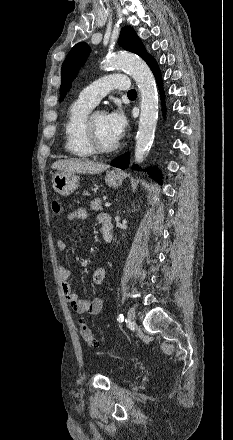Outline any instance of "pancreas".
<instances>
[{
  "label": "pancreas",
  "mask_w": 233,
  "mask_h": 440,
  "mask_svg": "<svg viewBox=\"0 0 233 440\" xmlns=\"http://www.w3.org/2000/svg\"><path fill=\"white\" fill-rule=\"evenodd\" d=\"M91 210L101 211L102 210V200L100 198L95 199L89 204Z\"/></svg>",
  "instance_id": "pancreas-1"
}]
</instances>
